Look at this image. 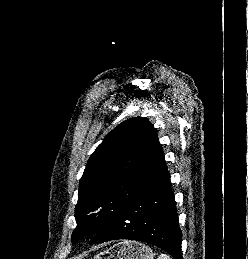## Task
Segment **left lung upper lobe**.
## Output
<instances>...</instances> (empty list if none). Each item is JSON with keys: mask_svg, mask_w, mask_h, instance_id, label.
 <instances>
[{"mask_svg": "<svg viewBox=\"0 0 248 259\" xmlns=\"http://www.w3.org/2000/svg\"><path fill=\"white\" fill-rule=\"evenodd\" d=\"M167 173L156 129L146 118L118 125L91 155L80 180L73 245L102 231Z\"/></svg>", "mask_w": 248, "mask_h": 259, "instance_id": "left-lung-upper-lobe-1", "label": "left lung upper lobe"}]
</instances>
